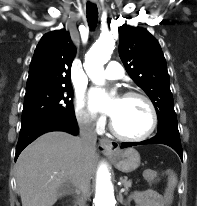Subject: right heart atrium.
<instances>
[{
    "label": "right heart atrium",
    "instance_id": "right-heart-atrium-1",
    "mask_svg": "<svg viewBox=\"0 0 197 206\" xmlns=\"http://www.w3.org/2000/svg\"><path fill=\"white\" fill-rule=\"evenodd\" d=\"M75 114L79 124L84 128L101 130L103 119L94 114L82 95L76 98Z\"/></svg>",
    "mask_w": 197,
    "mask_h": 206
}]
</instances>
